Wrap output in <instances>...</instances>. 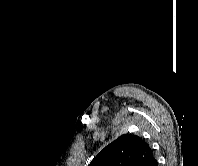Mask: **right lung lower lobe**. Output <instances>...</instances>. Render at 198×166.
<instances>
[{
    "label": "right lung lower lobe",
    "instance_id": "98d812e1",
    "mask_svg": "<svg viewBox=\"0 0 198 166\" xmlns=\"http://www.w3.org/2000/svg\"><path fill=\"white\" fill-rule=\"evenodd\" d=\"M150 166H158V165H157V161L154 160V161L150 164Z\"/></svg>",
    "mask_w": 198,
    "mask_h": 166
}]
</instances>
